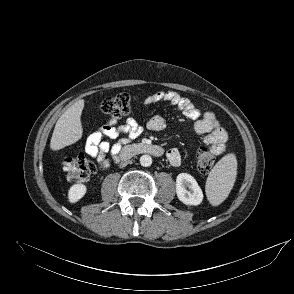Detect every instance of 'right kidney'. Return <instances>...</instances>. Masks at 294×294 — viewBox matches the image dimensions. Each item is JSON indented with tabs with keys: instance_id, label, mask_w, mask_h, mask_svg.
Listing matches in <instances>:
<instances>
[{
	"instance_id": "right-kidney-1",
	"label": "right kidney",
	"mask_w": 294,
	"mask_h": 294,
	"mask_svg": "<svg viewBox=\"0 0 294 294\" xmlns=\"http://www.w3.org/2000/svg\"><path fill=\"white\" fill-rule=\"evenodd\" d=\"M87 192V187L84 184H74L68 191V199L71 203L79 201Z\"/></svg>"
}]
</instances>
